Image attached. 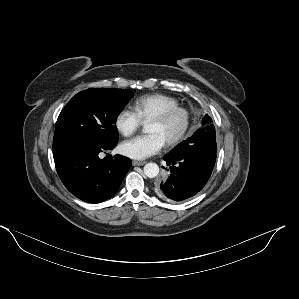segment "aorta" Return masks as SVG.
I'll list each match as a JSON object with an SVG mask.
<instances>
[{
	"instance_id": "1",
	"label": "aorta",
	"mask_w": 299,
	"mask_h": 299,
	"mask_svg": "<svg viewBox=\"0 0 299 299\" xmlns=\"http://www.w3.org/2000/svg\"><path fill=\"white\" fill-rule=\"evenodd\" d=\"M147 132L146 129L143 130ZM159 173V166L156 163L150 162L144 166V174L149 178H154Z\"/></svg>"
}]
</instances>
